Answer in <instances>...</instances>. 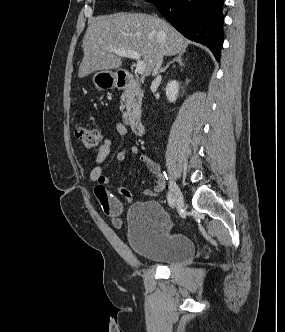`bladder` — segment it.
Returning <instances> with one entry per match:
<instances>
[{
    "instance_id": "1",
    "label": "bladder",
    "mask_w": 285,
    "mask_h": 332,
    "mask_svg": "<svg viewBox=\"0 0 285 332\" xmlns=\"http://www.w3.org/2000/svg\"><path fill=\"white\" fill-rule=\"evenodd\" d=\"M127 240L139 257L168 266H185L196 255L192 240L173 232L168 214L155 201L138 202L127 214Z\"/></svg>"
}]
</instances>
